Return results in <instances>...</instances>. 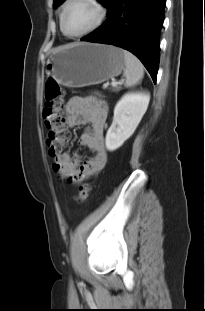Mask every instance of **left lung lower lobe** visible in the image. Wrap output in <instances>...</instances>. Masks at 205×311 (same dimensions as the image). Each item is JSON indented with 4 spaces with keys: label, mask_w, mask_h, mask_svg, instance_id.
<instances>
[{
    "label": "left lung lower lobe",
    "mask_w": 205,
    "mask_h": 311,
    "mask_svg": "<svg viewBox=\"0 0 205 311\" xmlns=\"http://www.w3.org/2000/svg\"><path fill=\"white\" fill-rule=\"evenodd\" d=\"M166 0H114L102 26L82 41L112 44L139 58L154 83L160 58V30Z\"/></svg>",
    "instance_id": "0a47b994"
}]
</instances>
